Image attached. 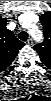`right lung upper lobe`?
<instances>
[{
    "label": "right lung upper lobe",
    "mask_w": 51,
    "mask_h": 101,
    "mask_svg": "<svg viewBox=\"0 0 51 101\" xmlns=\"http://www.w3.org/2000/svg\"><path fill=\"white\" fill-rule=\"evenodd\" d=\"M6 19L0 17V71L5 70L25 45L14 33L6 28Z\"/></svg>",
    "instance_id": "right-lung-upper-lobe-1"
}]
</instances>
